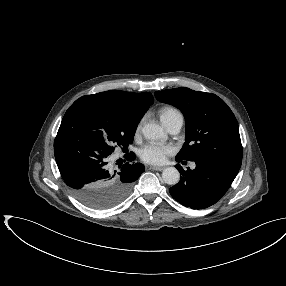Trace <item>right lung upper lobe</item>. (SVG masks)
Returning <instances> with one entry per match:
<instances>
[{"instance_id":"1","label":"right lung upper lobe","mask_w":286,"mask_h":286,"mask_svg":"<svg viewBox=\"0 0 286 286\" xmlns=\"http://www.w3.org/2000/svg\"><path fill=\"white\" fill-rule=\"evenodd\" d=\"M87 97L107 100L131 112L144 115L154 99L151 93H131L119 90H110Z\"/></svg>"}]
</instances>
